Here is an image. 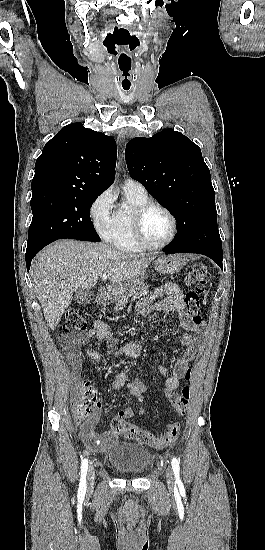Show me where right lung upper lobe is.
Segmentation results:
<instances>
[{
    "mask_svg": "<svg viewBox=\"0 0 265 550\" xmlns=\"http://www.w3.org/2000/svg\"><path fill=\"white\" fill-rule=\"evenodd\" d=\"M116 142L81 123L63 127L35 163L32 194L100 195L114 181Z\"/></svg>",
    "mask_w": 265,
    "mask_h": 550,
    "instance_id": "right-lung-upper-lobe-1",
    "label": "right lung upper lobe"
}]
</instances>
